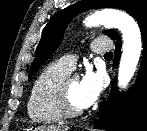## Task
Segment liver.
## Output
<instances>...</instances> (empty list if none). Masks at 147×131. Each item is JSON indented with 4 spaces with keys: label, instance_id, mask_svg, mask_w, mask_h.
Here are the masks:
<instances>
[{
    "label": "liver",
    "instance_id": "liver-1",
    "mask_svg": "<svg viewBox=\"0 0 147 131\" xmlns=\"http://www.w3.org/2000/svg\"><path fill=\"white\" fill-rule=\"evenodd\" d=\"M69 127H60V126H38L34 131H68Z\"/></svg>",
    "mask_w": 147,
    "mask_h": 131
}]
</instances>
